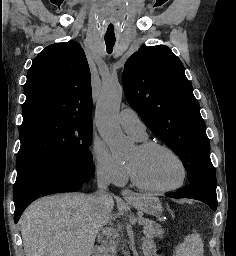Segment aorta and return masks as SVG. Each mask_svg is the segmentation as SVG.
<instances>
[{
    "mask_svg": "<svg viewBox=\"0 0 236 256\" xmlns=\"http://www.w3.org/2000/svg\"><path fill=\"white\" fill-rule=\"evenodd\" d=\"M122 95L123 87L120 83H105L96 106L98 131L114 152H122L127 146L118 120ZM124 255L128 256V252L124 251Z\"/></svg>",
    "mask_w": 236,
    "mask_h": 256,
    "instance_id": "obj_1",
    "label": "aorta"
}]
</instances>
